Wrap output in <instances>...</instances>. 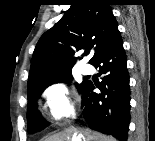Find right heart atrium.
Segmentation results:
<instances>
[{
	"instance_id": "obj_1",
	"label": "right heart atrium",
	"mask_w": 155,
	"mask_h": 141,
	"mask_svg": "<svg viewBox=\"0 0 155 141\" xmlns=\"http://www.w3.org/2000/svg\"><path fill=\"white\" fill-rule=\"evenodd\" d=\"M45 109L54 122L60 123L72 118L76 109V98L63 83H54L44 92Z\"/></svg>"
}]
</instances>
